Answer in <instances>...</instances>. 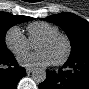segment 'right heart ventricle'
<instances>
[{
	"instance_id": "1",
	"label": "right heart ventricle",
	"mask_w": 89,
	"mask_h": 89,
	"mask_svg": "<svg viewBox=\"0 0 89 89\" xmlns=\"http://www.w3.org/2000/svg\"><path fill=\"white\" fill-rule=\"evenodd\" d=\"M58 27L48 22H34L28 25V39L35 44L41 37L58 32Z\"/></svg>"
}]
</instances>
